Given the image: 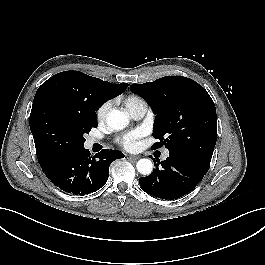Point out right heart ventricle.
Segmentation results:
<instances>
[{
    "label": "right heart ventricle",
    "instance_id": "1",
    "mask_svg": "<svg viewBox=\"0 0 265 265\" xmlns=\"http://www.w3.org/2000/svg\"><path fill=\"white\" fill-rule=\"evenodd\" d=\"M124 104L131 113L136 107L146 104L145 101L137 95H129L125 98Z\"/></svg>",
    "mask_w": 265,
    "mask_h": 265
}]
</instances>
